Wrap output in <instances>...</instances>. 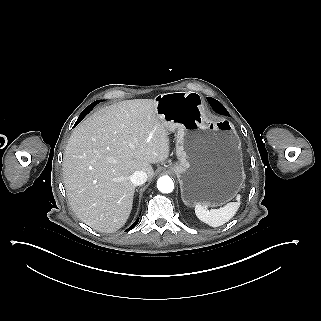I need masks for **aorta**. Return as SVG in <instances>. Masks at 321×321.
Returning <instances> with one entry per match:
<instances>
[{"instance_id":"aorta-1","label":"aorta","mask_w":321,"mask_h":321,"mask_svg":"<svg viewBox=\"0 0 321 321\" xmlns=\"http://www.w3.org/2000/svg\"><path fill=\"white\" fill-rule=\"evenodd\" d=\"M157 188L162 193H170L174 189V183L169 176H162L157 181Z\"/></svg>"}]
</instances>
